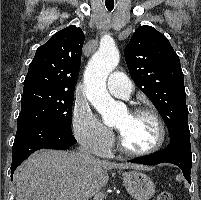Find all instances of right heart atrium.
<instances>
[{
	"instance_id": "right-heart-atrium-1",
	"label": "right heart atrium",
	"mask_w": 201,
	"mask_h": 200,
	"mask_svg": "<svg viewBox=\"0 0 201 200\" xmlns=\"http://www.w3.org/2000/svg\"><path fill=\"white\" fill-rule=\"evenodd\" d=\"M72 124L75 138L85 149L98 156H107L110 153L114 135L87 104L75 106Z\"/></svg>"
}]
</instances>
